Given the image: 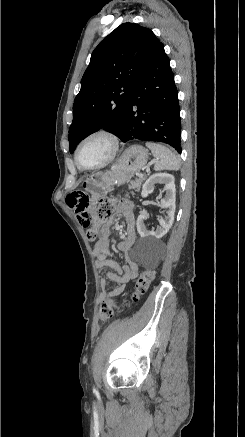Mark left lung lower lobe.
I'll list each match as a JSON object with an SVG mask.
<instances>
[{
    "instance_id": "obj_1",
    "label": "left lung lower lobe",
    "mask_w": 245,
    "mask_h": 437,
    "mask_svg": "<svg viewBox=\"0 0 245 437\" xmlns=\"http://www.w3.org/2000/svg\"><path fill=\"white\" fill-rule=\"evenodd\" d=\"M178 91L162 43L138 76L127 104L123 142L157 141L181 153Z\"/></svg>"
}]
</instances>
